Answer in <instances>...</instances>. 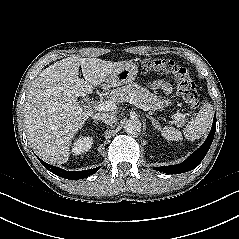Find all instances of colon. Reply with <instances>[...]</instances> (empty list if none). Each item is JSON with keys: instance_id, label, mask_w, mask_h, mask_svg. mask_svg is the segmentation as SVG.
<instances>
[{"instance_id": "5ec220e1", "label": "colon", "mask_w": 239, "mask_h": 239, "mask_svg": "<svg viewBox=\"0 0 239 239\" xmlns=\"http://www.w3.org/2000/svg\"><path fill=\"white\" fill-rule=\"evenodd\" d=\"M145 72L167 74L173 77L179 95L191 108L199 105V92L188 70L180 64L167 59L145 60L142 63Z\"/></svg>"}]
</instances>
